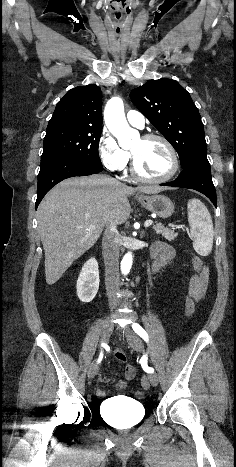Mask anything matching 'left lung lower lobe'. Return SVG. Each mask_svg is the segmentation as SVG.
<instances>
[{
	"label": "left lung lower lobe",
	"instance_id": "0a47b994",
	"mask_svg": "<svg viewBox=\"0 0 236 467\" xmlns=\"http://www.w3.org/2000/svg\"><path fill=\"white\" fill-rule=\"evenodd\" d=\"M163 186L182 187L197 190L206 195L217 206L216 191L212 182L207 156H200L183 167L179 177Z\"/></svg>",
	"mask_w": 236,
	"mask_h": 467
}]
</instances>
